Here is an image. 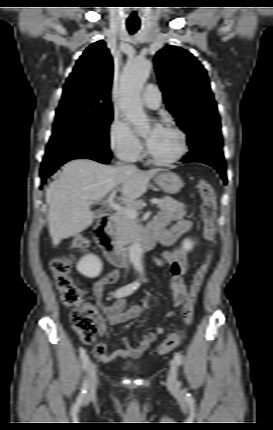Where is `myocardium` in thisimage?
Instances as JSON below:
<instances>
[{"instance_id": "1", "label": "myocardium", "mask_w": 273, "mask_h": 430, "mask_svg": "<svg viewBox=\"0 0 273 430\" xmlns=\"http://www.w3.org/2000/svg\"><path fill=\"white\" fill-rule=\"evenodd\" d=\"M162 128L168 129V130L174 132L178 136V138H179V149H178L177 153L171 158L160 159V158L155 157L151 153L150 149L148 148L146 151V155L148 157V160L150 162H152L153 164L160 165V166H166V165H171V164H174V163L180 161L186 155V153L188 151V142H187V136H186L185 132L180 127H178L177 125L172 124V123H164L162 125Z\"/></svg>"}]
</instances>
